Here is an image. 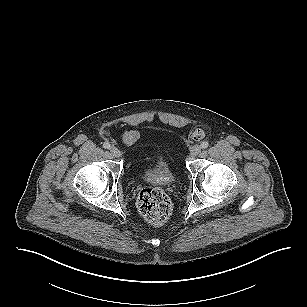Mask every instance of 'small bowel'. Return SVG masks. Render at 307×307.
<instances>
[{
    "label": "small bowel",
    "mask_w": 307,
    "mask_h": 307,
    "mask_svg": "<svg viewBox=\"0 0 307 307\" xmlns=\"http://www.w3.org/2000/svg\"><path fill=\"white\" fill-rule=\"evenodd\" d=\"M140 135L137 130H127L122 133L121 138L124 144L133 145L139 139Z\"/></svg>",
    "instance_id": "obj_1"
}]
</instances>
